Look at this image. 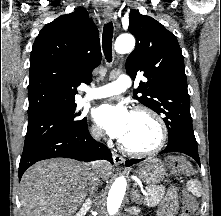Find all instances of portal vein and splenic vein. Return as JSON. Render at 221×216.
Listing matches in <instances>:
<instances>
[{"label":"portal vein and splenic vein","instance_id":"obj_1","mask_svg":"<svg viewBox=\"0 0 221 216\" xmlns=\"http://www.w3.org/2000/svg\"><path fill=\"white\" fill-rule=\"evenodd\" d=\"M143 194H144L145 196H147V195H148V192H146V191H143Z\"/></svg>","mask_w":221,"mask_h":216}]
</instances>
